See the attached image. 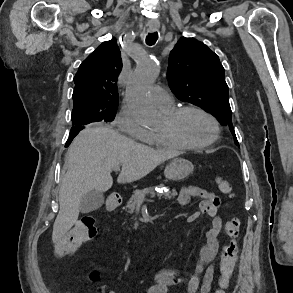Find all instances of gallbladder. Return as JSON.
I'll use <instances>...</instances> for the list:
<instances>
[{"mask_svg": "<svg viewBox=\"0 0 293 293\" xmlns=\"http://www.w3.org/2000/svg\"><path fill=\"white\" fill-rule=\"evenodd\" d=\"M103 204V194L96 191H90L82 197L80 202V211L82 213H89L99 209Z\"/></svg>", "mask_w": 293, "mask_h": 293, "instance_id": "1", "label": "gallbladder"}]
</instances>
